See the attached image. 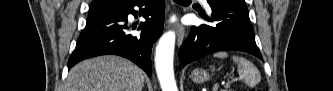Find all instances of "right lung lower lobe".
I'll return each instance as SVG.
<instances>
[{
	"mask_svg": "<svg viewBox=\"0 0 333 91\" xmlns=\"http://www.w3.org/2000/svg\"><path fill=\"white\" fill-rule=\"evenodd\" d=\"M134 6L140 7L146 19L138 27L139 36L128 34L129 27L124 23L128 14L137 17ZM164 8L163 0H136L119 10L91 12L68 61V69L84 59L112 54L130 59L151 76V49L163 30Z\"/></svg>",
	"mask_w": 333,
	"mask_h": 91,
	"instance_id": "obj_1",
	"label": "right lung lower lobe"
}]
</instances>
